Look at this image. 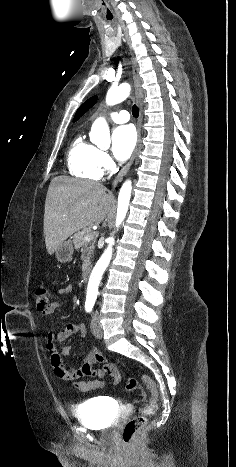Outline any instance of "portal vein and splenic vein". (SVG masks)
<instances>
[{"label": "portal vein and splenic vein", "instance_id": "obj_1", "mask_svg": "<svg viewBox=\"0 0 236 467\" xmlns=\"http://www.w3.org/2000/svg\"><path fill=\"white\" fill-rule=\"evenodd\" d=\"M94 238V234L91 233V234H87L85 237H84V240L89 242L91 241L92 239Z\"/></svg>", "mask_w": 236, "mask_h": 467}]
</instances>
